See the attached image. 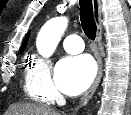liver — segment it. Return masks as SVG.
I'll return each instance as SVG.
<instances>
[{
    "mask_svg": "<svg viewBox=\"0 0 131 115\" xmlns=\"http://www.w3.org/2000/svg\"><path fill=\"white\" fill-rule=\"evenodd\" d=\"M6 115H59L48 106L36 104H14Z\"/></svg>",
    "mask_w": 131,
    "mask_h": 115,
    "instance_id": "1",
    "label": "liver"
}]
</instances>
